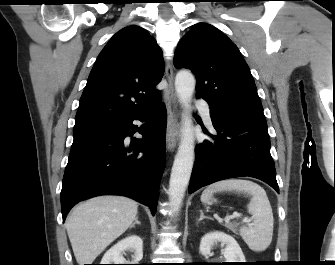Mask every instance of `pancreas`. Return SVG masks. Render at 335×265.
I'll return each instance as SVG.
<instances>
[{"instance_id": "pancreas-1", "label": "pancreas", "mask_w": 335, "mask_h": 265, "mask_svg": "<svg viewBox=\"0 0 335 265\" xmlns=\"http://www.w3.org/2000/svg\"><path fill=\"white\" fill-rule=\"evenodd\" d=\"M225 227L236 233V223H226Z\"/></svg>"}]
</instances>
